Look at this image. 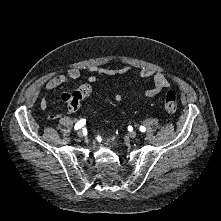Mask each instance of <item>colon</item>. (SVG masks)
Here are the masks:
<instances>
[{
    "instance_id": "colon-1",
    "label": "colon",
    "mask_w": 221,
    "mask_h": 221,
    "mask_svg": "<svg viewBox=\"0 0 221 221\" xmlns=\"http://www.w3.org/2000/svg\"><path fill=\"white\" fill-rule=\"evenodd\" d=\"M91 93V87L90 86H83L77 90L76 93H74L72 98V104L76 107L80 103V101L83 100L84 97H87ZM164 106L165 110L169 115H172L175 113L177 109V97L176 94L173 91H169L166 93L164 98Z\"/></svg>"
}]
</instances>
